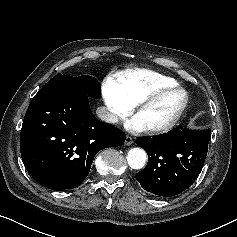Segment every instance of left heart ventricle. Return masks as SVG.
Masks as SVG:
<instances>
[{
    "instance_id": "1",
    "label": "left heart ventricle",
    "mask_w": 237,
    "mask_h": 237,
    "mask_svg": "<svg viewBox=\"0 0 237 237\" xmlns=\"http://www.w3.org/2000/svg\"><path fill=\"white\" fill-rule=\"evenodd\" d=\"M183 101V94L174 92L166 95L155 104L146 107L136 115L144 127L166 123L177 111Z\"/></svg>"
}]
</instances>
